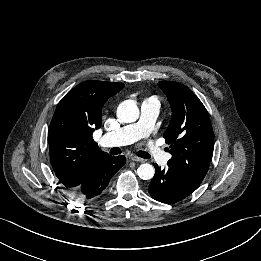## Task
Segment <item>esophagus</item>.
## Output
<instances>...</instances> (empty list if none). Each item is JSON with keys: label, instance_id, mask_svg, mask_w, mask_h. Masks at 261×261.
I'll list each match as a JSON object with an SVG mask.
<instances>
[{"label": "esophagus", "instance_id": "34e87169", "mask_svg": "<svg viewBox=\"0 0 261 261\" xmlns=\"http://www.w3.org/2000/svg\"><path fill=\"white\" fill-rule=\"evenodd\" d=\"M130 159L135 162H145L144 159L137 157V156H131Z\"/></svg>", "mask_w": 261, "mask_h": 261}]
</instances>
